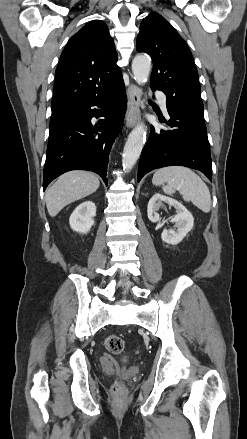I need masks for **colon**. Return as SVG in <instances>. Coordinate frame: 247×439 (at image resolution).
<instances>
[{
	"mask_svg": "<svg viewBox=\"0 0 247 439\" xmlns=\"http://www.w3.org/2000/svg\"><path fill=\"white\" fill-rule=\"evenodd\" d=\"M104 345L112 354H120L125 347L124 341L117 335L107 336L105 338ZM112 389L115 393H120L122 391V385L120 383H115Z\"/></svg>",
	"mask_w": 247,
	"mask_h": 439,
	"instance_id": "1",
	"label": "colon"
}]
</instances>
